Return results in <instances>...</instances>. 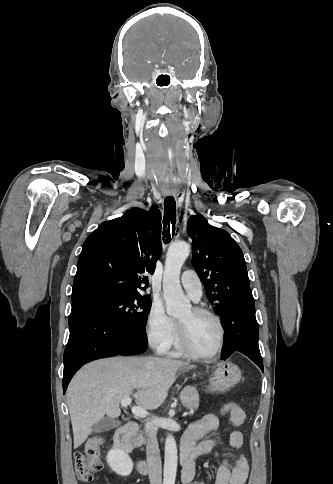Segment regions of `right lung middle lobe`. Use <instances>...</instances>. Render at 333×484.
I'll list each match as a JSON object with an SVG mask.
<instances>
[{
  "label": "right lung middle lobe",
  "instance_id": "dd1d6c3e",
  "mask_svg": "<svg viewBox=\"0 0 333 484\" xmlns=\"http://www.w3.org/2000/svg\"><path fill=\"white\" fill-rule=\"evenodd\" d=\"M83 297L101 304L112 317L132 332L146 336V322L151 307L149 296L98 291Z\"/></svg>",
  "mask_w": 333,
  "mask_h": 484
}]
</instances>
